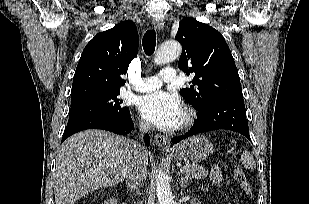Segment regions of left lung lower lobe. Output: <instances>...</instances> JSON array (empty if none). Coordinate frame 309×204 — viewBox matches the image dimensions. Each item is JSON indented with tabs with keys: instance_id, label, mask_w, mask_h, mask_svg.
<instances>
[{
	"instance_id": "obj_1",
	"label": "left lung lower lobe",
	"mask_w": 309,
	"mask_h": 204,
	"mask_svg": "<svg viewBox=\"0 0 309 204\" xmlns=\"http://www.w3.org/2000/svg\"><path fill=\"white\" fill-rule=\"evenodd\" d=\"M218 129L232 130L250 139L243 99L218 100L199 110L194 126L171 141L176 144L187 137Z\"/></svg>"
}]
</instances>
